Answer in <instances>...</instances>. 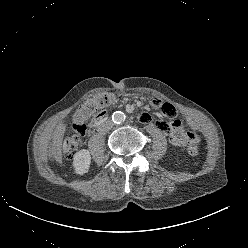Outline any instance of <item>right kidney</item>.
Returning a JSON list of instances; mask_svg holds the SVG:
<instances>
[{
  "mask_svg": "<svg viewBox=\"0 0 248 248\" xmlns=\"http://www.w3.org/2000/svg\"><path fill=\"white\" fill-rule=\"evenodd\" d=\"M91 163L90 152L82 149L75 153L73 158V167L76 174L83 175L89 171Z\"/></svg>",
  "mask_w": 248,
  "mask_h": 248,
  "instance_id": "obj_1",
  "label": "right kidney"
}]
</instances>
